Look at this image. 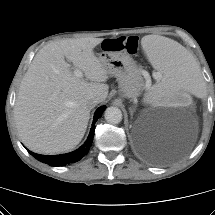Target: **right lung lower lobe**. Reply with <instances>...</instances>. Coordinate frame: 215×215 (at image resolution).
Returning <instances> with one entry per match:
<instances>
[{"label": "right lung lower lobe", "instance_id": "obj_1", "mask_svg": "<svg viewBox=\"0 0 215 215\" xmlns=\"http://www.w3.org/2000/svg\"><path fill=\"white\" fill-rule=\"evenodd\" d=\"M104 110H105V106H102L95 112L94 121H93L91 130H90V134L88 136V139L77 150L70 152V153H67V154L57 155V156L40 155V154L33 153L29 150H28V152L33 157H35L37 160H39L40 162L49 164L50 166H64L66 164H70V163H74V162L79 161L89 151V148L92 144L93 137H94V131H95V125L94 124L101 117Z\"/></svg>", "mask_w": 215, "mask_h": 215}]
</instances>
